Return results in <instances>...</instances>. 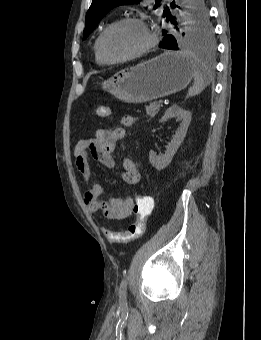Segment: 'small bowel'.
<instances>
[{
  "mask_svg": "<svg viewBox=\"0 0 261 340\" xmlns=\"http://www.w3.org/2000/svg\"><path fill=\"white\" fill-rule=\"evenodd\" d=\"M136 119L126 115L121 119L122 127L115 129H98L95 136L78 141L74 148L75 165L85 182H91V187L84 195V201L91 213L101 212L106 218L123 220L132 214L134 200L131 196L125 198L102 199V185L91 177L89 157L92 156L104 166L114 169L116 161L113 153L117 143L126 135L125 128L134 125ZM120 176L129 185L138 184L140 173L136 163L130 157H123Z\"/></svg>",
  "mask_w": 261,
  "mask_h": 340,
  "instance_id": "obj_1",
  "label": "small bowel"
}]
</instances>
